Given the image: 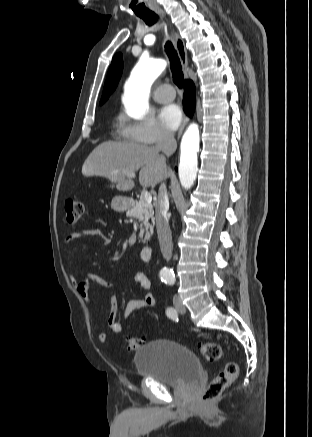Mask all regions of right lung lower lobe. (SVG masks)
<instances>
[{"mask_svg":"<svg viewBox=\"0 0 312 437\" xmlns=\"http://www.w3.org/2000/svg\"><path fill=\"white\" fill-rule=\"evenodd\" d=\"M183 104L186 114L192 116L195 109V86L190 80L184 83Z\"/></svg>","mask_w":312,"mask_h":437,"instance_id":"98d812e1","label":"right lung lower lobe"}]
</instances>
